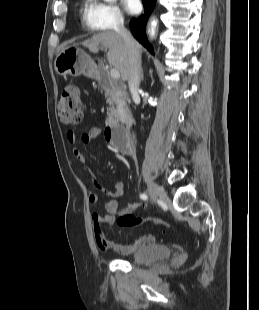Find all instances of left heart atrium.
Returning <instances> with one entry per match:
<instances>
[{
	"label": "left heart atrium",
	"mask_w": 259,
	"mask_h": 310,
	"mask_svg": "<svg viewBox=\"0 0 259 310\" xmlns=\"http://www.w3.org/2000/svg\"><path fill=\"white\" fill-rule=\"evenodd\" d=\"M124 7L128 13L135 14L141 8L140 0H123Z\"/></svg>",
	"instance_id": "obj_1"
}]
</instances>
